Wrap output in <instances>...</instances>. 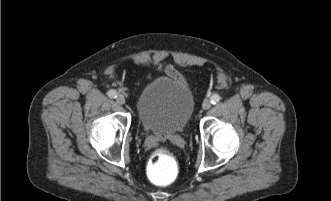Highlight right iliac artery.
<instances>
[{"label": "right iliac artery", "mask_w": 331, "mask_h": 201, "mask_svg": "<svg viewBox=\"0 0 331 201\" xmlns=\"http://www.w3.org/2000/svg\"><path fill=\"white\" fill-rule=\"evenodd\" d=\"M107 94H108V96H109L110 98H116V97H117V92H116L115 90H113V89L109 90V91L107 92Z\"/></svg>", "instance_id": "82829eb1"}]
</instances>
